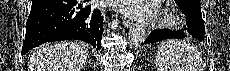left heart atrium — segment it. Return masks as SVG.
<instances>
[{
    "label": "left heart atrium",
    "instance_id": "left-heart-atrium-1",
    "mask_svg": "<svg viewBox=\"0 0 230 71\" xmlns=\"http://www.w3.org/2000/svg\"><path fill=\"white\" fill-rule=\"evenodd\" d=\"M115 2L122 12L139 19L151 18L156 11L152 0H121Z\"/></svg>",
    "mask_w": 230,
    "mask_h": 71
}]
</instances>
